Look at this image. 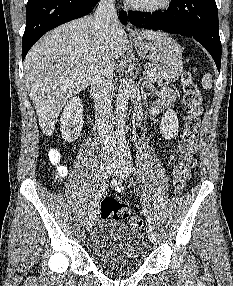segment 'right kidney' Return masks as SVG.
Segmentation results:
<instances>
[{
	"instance_id": "obj_1",
	"label": "right kidney",
	"mask_w": 233,
	"mask_h": 286,
	"mask_svg": "<svg viewBox=\"0 0 233 286\" xmlns=\"http://www.w3.org/2000/svg\"><path fill=\"white\" fill-rule=\"evenodd\" d=\"M60 122L64 140L74 142L80 136L84 123L83 105L79 97H72L65 105Z\"/></svg>"
}]
</instances>
